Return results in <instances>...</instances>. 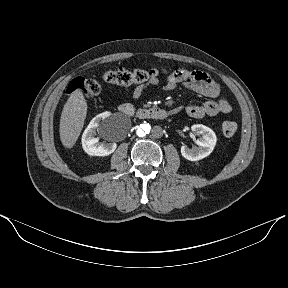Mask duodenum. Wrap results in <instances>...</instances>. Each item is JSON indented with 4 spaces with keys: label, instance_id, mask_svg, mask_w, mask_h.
Instances as JSON below:
<instances>
[{
    "label": "duodenum",
    "instance_id": "1",
    "mask_svg": "<svg viewBox=\"0 0 288 288\" xmlns=\"http://www.w3.org/2000/svg\"><path fill=\"white\" fill-rule=\"evenodd\" d=\"M119 111L129 117L139 119L163 120L174 112L167 111L160 107L141 108L136 110L131 104L124 103L119 106Z\"/></svg>",
    "mask_w": 288,
    "mask_h": 288
}]
</instances>
